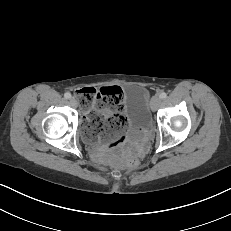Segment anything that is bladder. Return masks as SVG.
<instances>
[{
  "mask_svg": "<svg viewBox=\"0 0 231 231\" xmlns=\"http://www.w3.org/2000/svg\"><path fill=\"white\" fill-rule=\"evenodd\" d=\"M125 113L130 123L141 130L148 131L151 128V103L147 90L136 84L129 85L123 95ZM80 137L85 142L93 141L92 132L87 124H82L79 129Z\"/></svg>",
  "mask_w": 231,
  "mask_h": 231,
  "instance_id": "bladder-1",
  "label": "bladder"
}]
</instances>
